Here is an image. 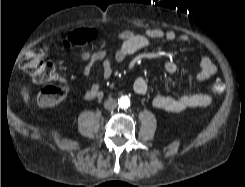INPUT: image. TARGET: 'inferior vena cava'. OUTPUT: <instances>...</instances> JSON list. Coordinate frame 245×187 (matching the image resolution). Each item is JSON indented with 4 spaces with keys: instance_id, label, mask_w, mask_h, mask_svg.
<instances>
[{
    "instance_id": "inferior-vena-cava-1",
    "label": "inferior vena cava",
    "mask_w": 245,
    "mask_h": 187,
    "mask_svg": "<svg viewBox=\"0 0 245 187\" xmlns=\"http://www.w3.org/2000/svg\"><path fill=\"white\" fill-rule=\"evenodd\" d=\"M117 107V102L113 98H109L104 102V108L107 110H114Z\"/></svg>"
}]
</instances>
